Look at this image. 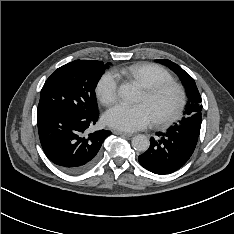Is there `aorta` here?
<instances>
[{
	"label": "aorta",
	"instance_id": "762f6f07",
	"mask_svg": "<svg viewBox=\"0 0 234 234\" xmlns=\"http://www.w3.org/2000/svg\"><path fill=\"white\" fill-rule=\"evenodd\" d=\"M118 94L126 101H135L138 96V90L134 85L126 83L119 87ZM149 146L150 141L143 134H138L132 139V147L136 151L145 152L148 150Z\"/></svg>",
	"mask_w": 234,
	"mask_h": 234
}]
</instances>
